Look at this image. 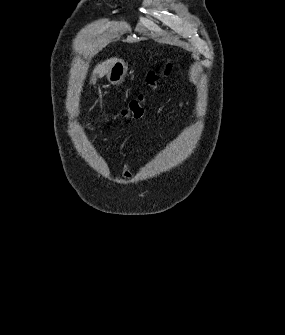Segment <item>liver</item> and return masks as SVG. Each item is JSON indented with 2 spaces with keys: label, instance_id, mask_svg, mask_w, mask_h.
I'll return each mask as SVG.
<instances>
[{
  "label": "liver",
  "instance_id": "6515ba94",
  "mask_svg": "<svg viewBox=\"0 0 285 335\" xmlns=\"http://www.w3.org/2000/svg\"><path fill=\"white\" fill-rule=\"evenodd\" d=\"M115 64V58H110V60H106V62H102V64H98V66H95L93 76L95 74H98L99 78H103L107 72H109L111 66ZM93 82V80H91Z\"/></svg>",
  "mask_w": 285,
  "mask_h": 335
}]
</instances>
